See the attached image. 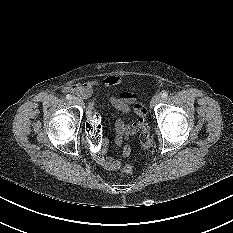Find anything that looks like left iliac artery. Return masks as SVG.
I'll list each match as a JSON object with an SVG mask.
<instances>
[{
  "label": "left iliac artery",
  "mask_w": 233,
  "mask_h": 233,
  "mask_svg": "<svg viewBox=\"0 0 233 233\" xmlns=\"http://www.w3.org/2000/svg\"><path fill=\"white\" fill-rule=\"evenodd\" d=\"M167 96H168V93H167V92H163V93H162V97H163V98H166Z\"/></svg>",
  "instance_id": "1"
}]
</instances>
